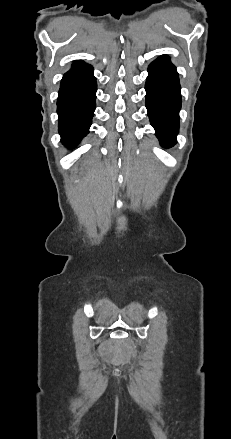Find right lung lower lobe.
<instances>
[{
    "instance_id": "1",
    "label": "right lung lower lobe",
    "mask_w": 231,
    "mask_h": 439,
    "mask_svg": "<svg viewBox=\"0 0 231 439\" xmlns=\"http://www.w3.org/2000/svg\"><path fill=\"white\" fill-rule=\"evenodd\" d=\"M97 84L93 67L76 61L61 81L57 99L59 133L66 147H75L89 133Z\"/></svg>"
}]
</instances>
